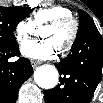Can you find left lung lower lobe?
<instances>
[{"label":"left lung lower lobe","mask_w":103,"mask_h":103,"mask_svg":"<svg viewBox=\"0 0 103 103\" xmlns=\"http://www.w3.org/2000/svg\"><path fill=\"white\" fill-rule=\"evenodd\" d=\"M60 84L44 92L46 103H90L103 69V40L98 30L76 38L70 53L55 65Z\"/></svg>","instance_id":"left-lung-lower-lobe-1"}]
</instances>
